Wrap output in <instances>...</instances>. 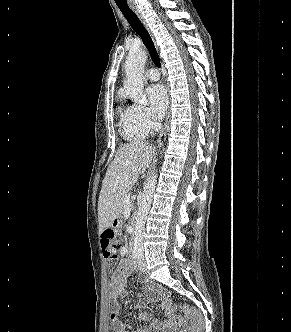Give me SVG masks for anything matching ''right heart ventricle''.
Returning <instances> with one entry per match:
<instances>
[{
	"mask_svg": "<svg viewBox=\"0 0 291 332\" xmlns=\"http://www.w3.org/2000/svg\"><path fill=\"white\" fill-rule=\"evenodd\" d=\"M118 114L120 117L121 135L128 141H135L144 138L145 132L137 129L132 121L131 107H118Z\"/></svg>",
	"mask_w": 291,
	"mask_h": 332,
	"instance_id": "obj_1",
	"label": "right heart ventricle"
}]
</instances>
